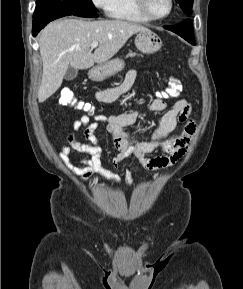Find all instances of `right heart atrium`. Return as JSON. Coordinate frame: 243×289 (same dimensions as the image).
Instances as JSON below:
<instances>
[{"instance_id": "1", "label": "right heart atrium", "mask_w": 243, "mask_h": 289, "mask_svg": "<svg viewBox=\"0 0 243 289\" xmlns=\"http://www.w3.org/2000/svg\"><path fill=\"white\" fill-rule=\"evenodd\" d=\"M92 2L97 8L105 12L109 11L112 4V0H92Z\"/></svg>"}]
</instances>
